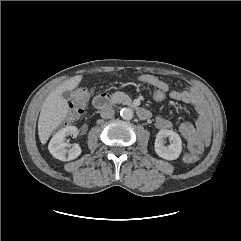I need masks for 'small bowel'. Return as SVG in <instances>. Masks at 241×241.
<instances>
[{
	"label": "small bowel",
	"mask_w": 241,
	"mask_h": 241,
	"mask_svg": "<svg viewBox=\"0 0 241 241\" xmlns=\"http://www.w3.org/2000/svg\"><path fill=\"white\" fill-rule=\"evenodd\" d=\"M139 80L151 87H161L170 98L181 101L193 107L195 118L193 122L185 121L180 126V133L187 142L189 150L194 154H200L210 142L211 121L207 105L202 95L194 89H171L170 85L150 74H142ZM155 125L159 129H169L172 121L166 117L158 116Z\"/></svg>",
	"instance_id": "small-bowel-1"
}]
</instances>
